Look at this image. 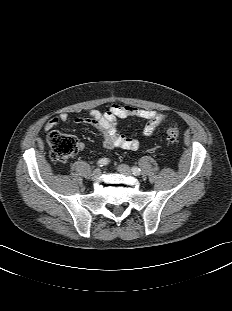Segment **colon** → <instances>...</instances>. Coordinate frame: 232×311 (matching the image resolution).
Instances as JSON below:
<instances>
[{"label":"colon","instance_id":"colon-1","mask_svg":"<svg viewBox=\"0 0 232 311\" xmlns=\"http://www.w3.org/2000/svg\"><path fill=\"white\" fill-rule=\"evenodd\" d=\"M166 134L171 142H175L178 140L180 132L177 126L168 125ZM47 140L51 148L52 158L55 161L64 162L73 157L77 151V142L72 135L51 131L48 134Z\"/></svg>","mask_w":232,"mask_h":311}]
</instances>
